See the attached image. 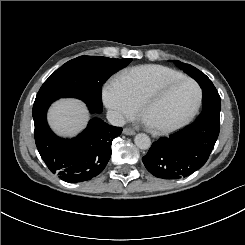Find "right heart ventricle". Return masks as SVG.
Instances as JSON below:
<instances>
[{"label":"right heart ventricle","instance_id":"1","mask_svg":"<svg viewBox=\"0 0 245 245\" xmlns=\"http://www.w3.org/2000/svg\"><path fill=\"white\" fill-rule=\"evenodd\" d=\"M181 73L160 65H144L126 71L112 80V84L123 89L137 105L143 90L152 82L179 77ZM164 87H161L162 89Z\"/></svg>","mask_w":245,"mask_h":245}]
</instances>
